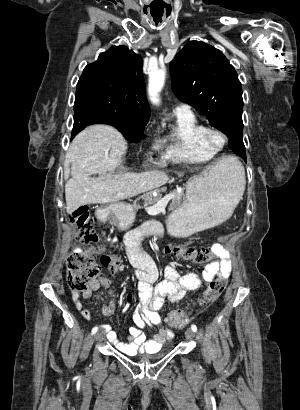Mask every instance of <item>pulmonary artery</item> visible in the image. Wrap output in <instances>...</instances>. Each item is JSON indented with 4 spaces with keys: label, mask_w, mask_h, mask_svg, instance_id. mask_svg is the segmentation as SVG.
I'll return each mask as SVG.
<instances>
[{
    "label": "pulmonary artery",
    "mask_w": 300,
    "mask_h": 410,
    "mask_svg": "<svg viewBox=\"0 0 300 410\" xmlns=\"http://www.w3.org/2000/svg\"><path fill=\"white\" fill-rule=\"evenodd\" d=\"M176 111H189V106L185 104H180L177 106Z\"/></svg>",
    "instance_id": "e3ab8cb5"
}]
</instances>
